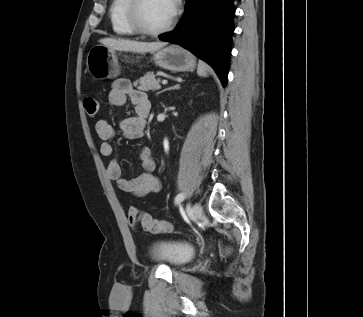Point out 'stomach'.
Segmentation results:
<instances>
[{
  "instance_id": "1",
  "label": "stomach",
  "mask_w": 363,
  "mask_h": 317,
  "mask_svg": "<svg viewBox=\"0 0 363 317\" xmlns=\"http://www.w3.org/2000/svg\"><path fill=\"white\" fill-rule=\"evenodd\" d=\"M155 64L172 72L193 71L196 59L178 45H170L153 52ZM87 69L95 80L115 78L120 74L118 54L104 45L93 46L87 55Z\"/></svg>"
}]
</instances>
